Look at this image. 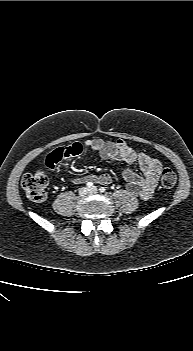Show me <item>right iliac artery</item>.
<instances>
[{
  "label": "right iliac artery",
  "mask_w": 193,
  "mask_h": 351,
  "mask_svg": "<svg viewBox=\"0 0 193 351\" xmlns=\"http://www.w3.org/2000/svg\"><path fill=\"white\" fill-rule=\"evenodd\" d=\"M86 186L89 187V188H90V187H94L92 182L86 183Z\"/></svg>",
  "instance_id": "right-iliac-artery-1"
}]
</instances>
